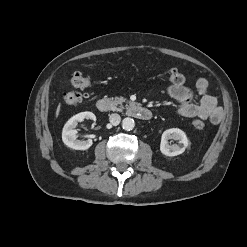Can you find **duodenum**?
Listing matches in <instances>:
<instances>
[{"mask_svg": "<svg viewBox=\"0 0 247 247\" xmlns=\"http://www.w3.org/2000/svg\"><path fill=\"white\" fill-rule=\"evenodd\" d=\"M95 106L100 112H109L112 108L109 100L104 98L98 99ZM127 114L143 121H147L152 117V112L148 108L138 104H131L127 108Z\"/></svg>", "mask_w": 247, "mask_h": 247, "instance_id": "duodenum-1", "label": "duodenum"}]
</instances>
